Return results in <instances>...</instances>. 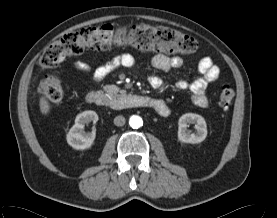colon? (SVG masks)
Returning <instances> with one entry per match:
<instances>
[{"label":"colon","instance_id":"1","mask_svg":"<svg viewBox=\"0 0 277 218\" xmlns=\"http://www.w3.org/2000/svg\"><path fill=\"white\" fill-rule=\"evenodd\" d=\"M129 48L140 52L191 54L197 49L196 41L175 29L163 26L106 24L70 32L45 48L40 65L50 68L65 58L83 53L87 49L109 50ZM40 93L50 102H59L63 97L60 80L46 76L39 85ZM235 96L232 86L224 84L219 88L218 101L221 107H229Z\"/></svg>","mask_w":277,"mask_h":218}]
</instances>
